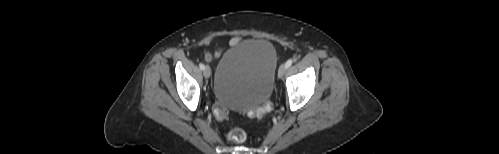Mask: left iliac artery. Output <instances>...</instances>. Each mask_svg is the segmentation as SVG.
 Listing matches in <instances>:
<instances>
[{
    "mask_svg": "<svg viewBox=\"0 0 499 154\" xmlns=\"http://www.w3.org/2000/svg\"><path fill=\"white\" fill-rule=\"evenodd\" d=\"M292 63H293V60H292V59H289V60L285 63V65H286V67H287V68H289V67L292 65Z\"/></svg>",
    "mask_w": 499,
    "mask_h": 154,
    "instance_id": "1",
    "label": "left iliac artery"
}]
</instances>
